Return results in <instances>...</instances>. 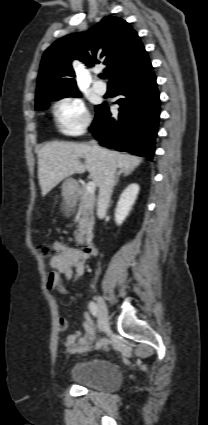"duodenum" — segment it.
<instances>
[{"label": "duodenum", "mask_w": 208, "mask_h": 425, "mask_svg": "<svg viewBox=\"0 0 208 425\" xmlns=\"http://www.w3.org/2000/svg\"><path fill=\"white\" fill-rule=\"evenodd\" d=\"M82 251L85 255L90 256L96 252V247L92 239H86L82 245Z\"/></svg>", "instance_id": "410a0bca"}]
</instances>
